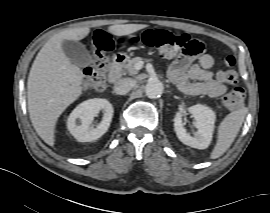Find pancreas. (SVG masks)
Listing matches in <instances>:
<instances>
[{
    "instance_id": "obj_1",
    "label": "pancreas",
    "mask_w": 270,
    "mask_h": 213,
    "mask_svg": "<svg viewBox=\"0 0 270 213\" xmlns=\"http://www.w3.org/2000/svg\"><path fill=\"white\" fill-rule=\"evenodd\" d=\"M146 59L141 57H134L132 59L127 60L124 62L120 69L124 71L125 73H128L129 75H134L138 73V70L135 68V65L139 62H144Z\"/></svg>"
}]
</instances>
